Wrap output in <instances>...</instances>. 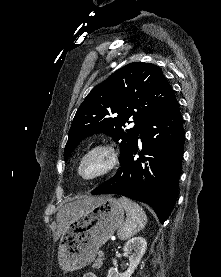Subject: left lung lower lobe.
<instances>
[{
  "mask_svg": "<svg viewBox=\"0 0 221 277\" xmlns=\"http://www.w3.org/2000/svg\"><path fill=\"white\" fill-rule=\"evenodd\" d=\"M120 163L92 194H118L149 204L163 224L177 200L184 149L183 120L174 99L151 119ZM149 155L151 157H145Z\"/></svg>",
  "mask_w": 221,
  "mask_h": 277,
  "instance_id": "left-lung-lower-lobe-1",
  "label": "left lung lower lobe"
}]
</instances>
